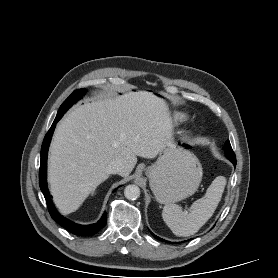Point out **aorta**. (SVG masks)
Listing matches in <instances>:
<instances>
[{
	"instance_id": "aorta-1",
	"label": "aorta",
	"mask_w": 278,
	"mask_h": 278,
	"mask_svg": "<svg viewBox=\"0 0 278 278\" xmlns=\"http://www.w3.org/2000/svg\"><path fill=\"white\" fill-rule=\"evenodd\" d=\"M124 195L129 200H136L140 196V188L137 185H128L124 189Z\"/></svg>"
}]
</instances>
